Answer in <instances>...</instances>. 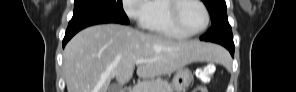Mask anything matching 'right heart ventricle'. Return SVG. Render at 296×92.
<instances>
[{"instance_id": "right-heart-ventricle-1", "label": "right heart ventricle", "mask_w": 296, "mask_h": 92, "mask_svg": "<svg viewBox=\"0 0 296 92\" xmlns=\"http://www.w3.org/2000/svg\"><path fill=\"white\" fill-rule=\"evenodd\" d=\"M172 1L153 0L149 1V12L143 27L162 36L173 39L185 38L183 34L177 31L169 19V8Z\"/></svg>"}]
</instances>
